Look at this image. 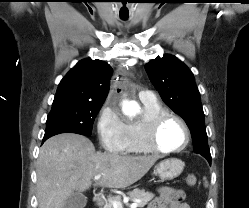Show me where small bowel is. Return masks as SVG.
<instances>
[{
    "label": "small bowel",
    "instance_id": "obj_1",
    "mask_svg": "<svg viewBox=\"0 0 249 208\" xmlns=\"http://www.w3.org/2000/svg\"><path fill=\"white\" fill-rule=\"evenodd\" d=\"M184 199V191L161 187L158 190V196L149 204L148 208H190Z\"/></svg>",
    "mask_w": 249,
    "mask_h": 208
}]
</instances>
